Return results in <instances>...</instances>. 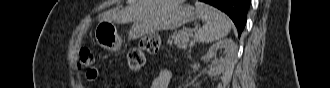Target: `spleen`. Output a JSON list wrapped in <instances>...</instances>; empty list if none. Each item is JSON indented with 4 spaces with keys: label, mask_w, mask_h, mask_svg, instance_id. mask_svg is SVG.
Instances as JSON below:
<instances>
[{
    "label": "spleen",
    "mask_w": 330,
    "mask_h": 88,
    "mask_svg": "<svg viewBox=\"0 0 330 88\" xmlns=\"http://www.w3.org/2000/svg\"><path fill=\"white\" fill-rule=\"evenodd\" d=\"M195 6L201 19L205 21L195 33L197 42L211 43L228 35L232 23L225 13L200 1H196Z\"/></svg>",
    "instance_id": "3e777b00"
}]
</instances>
